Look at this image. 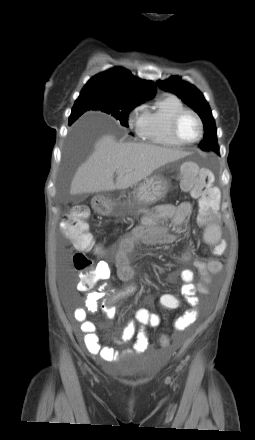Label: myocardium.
<instances>
[{
  "label": "myocardium",
  "mask_w": 255,
  "mask_h": 440,
  "mask_svg": "<svg viewBox=\"0 0 255 440\" xmlns=\"http://www.w3.org/2000/svg\"><path fill=\"white\" fill-rule=\"evenodd\" d=\"M187 114L192 115L196 119V121L198 123V127H199L198 136L196 137V139H194L192 141L184 140L180 136L179 131H178V127H179V123H180L181 119ZM171 132H172V135H173L174 139L176 140V142L179 143L180 145H193V144L199 142L201 140V138L203 137V134H204L203 121L197 112H195L192 109L184 108V109L180 110L179 112H177L175 114V116L173 117L172 122H171Z\"/></svg>",
  "instance_id": "1"
}]
</instances>
